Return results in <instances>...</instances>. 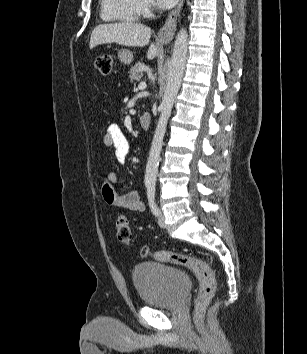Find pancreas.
Masks as SVG:
<instances>
[{"mask_svg":"<svg viewBox=\"0 0 307 354\" xmlns=\"http://www.w3.org/2000/svg\"><path fill=\"white\" fill-rule=\"evenodd\" d=\"M148 68L142 63H136L133 67H131L129 71V79L132 82L133 80H139L143 77V73L146 72Z\"/></svg>","mask_w":307,"mask_h":354,"instance_id":"1","label":"pancreas"}]
</instances>
